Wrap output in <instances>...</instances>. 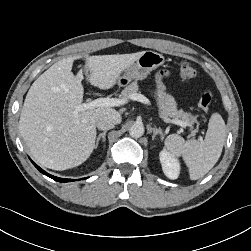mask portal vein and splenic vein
<instances>
[{"label":"portal vein and splenic vein","instance_id":"obj_1","mask_svg":"<svg viewBox=\"0 0 251 251\" xmlns=\"http://www.w3.org/2000/svg\"><path fill=\"white\" fill-rule=\"evenodd\" d=\"M130 99L134 101H139L141 103H144L146 105H151L149 99L145 97L142 94L135 93L130 96ZM127 103V100L122 98V99H117V98H98L95 100H92L88 103H83L79 106L76 107V111H82V110H87V109H94V108H102V107H114V106H121ZM159 117L166 123H172L181 127H186L188 124L182 120H175V119H170L165 116H163L161 113H159Z\"/></svg>","mask_w":251,"mask_h":251}]
</instances>
